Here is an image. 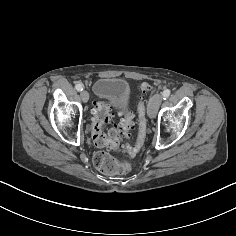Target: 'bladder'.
Returning a JSON list of instances; mask_svg holds the SVG:
<instances>
[{
  "label": "bladder",
  "mask_w": 236,
  "mask_h": 236,
  "mask_svg": "<svg viewBox=\"0 0 236 236\" xmlns=\"http://www.w3.org/2000/svg\"><path fill=\"white\" fill-rule=\"evenodd\" d=\"M95 93L115 106L124 105L129 99V85L121 78L102 77L94 85Z\"/></svg>",
  "instance_id": "obj_1"
}]
</instances>
